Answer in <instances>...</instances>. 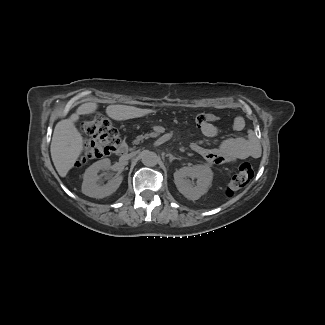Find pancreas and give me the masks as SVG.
Wrapping results in <instances>:
<instances>
[{"mask_svg":"<svg viewBox=\"0 0 325 325\" xmlns=\"http://www.w3.org/2000/svg\"><path fill=\"white\" fill-rule=\"evenodd\" d=\"M155 136H156V135H155L154 133H150V132L147 133V132H146V133H144L143 136H139L137 139H136V138L133 139L132 142H133V144H135V145L138 146V145H140L142 142H144V140H145L144 138H146V139L149 138V139H150V138L155 137Z\"/></svg>","mask_w":325,"mask_h":325,"instance_id":"obj_1","label":"pancreas"}]
</instances>
